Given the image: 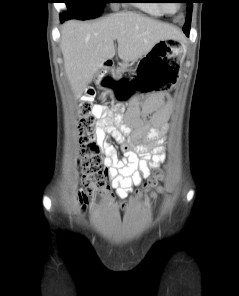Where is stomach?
Masks as SVG:
<instances>
[{
  "label": "stomach",
  "mask_w": 239,
  "mask_h": 296,
  "mask_svg": "<svg viewBox=\"0 0 239 296\" xmlns=\"http://www.w3.org/2000/svg\"><path fill=\"white\" fill-rule=\"evenodd\" d=\"M186 53L185 44L179 39L165 38L157 41L138 62V69H121L117 84H159V85H101V90H111L115 101L133 105L139 94L148 98L149 94H163L172 90L170 84L176 81L179 66Z\"/></svg>",
  "instance_id": "obj_1"
}]
</instances>
